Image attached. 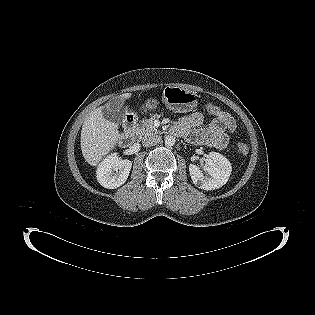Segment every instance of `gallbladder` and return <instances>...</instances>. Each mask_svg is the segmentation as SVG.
Masks as SVG:
<instances>
[{"label":"gallbladder","mask_w":315,"mask_h":315,"mask_svg":"<svg viewBox=\"0 0 315 315\" xmlns=\"http://www.w3.org/2000/svg\"><path fill=\"white\" fill-rule=\"evenodd\" d=\"M119 102V99L112 100L109 102L107 106H105L102 110L103 116L112 122L120 123L121 122V116L119 113L118 106L116 105Z\"/></svg>","instance_id":"1"}]
</instances>
